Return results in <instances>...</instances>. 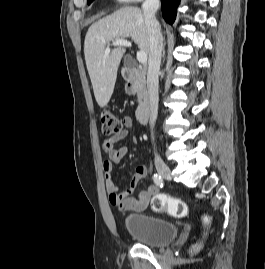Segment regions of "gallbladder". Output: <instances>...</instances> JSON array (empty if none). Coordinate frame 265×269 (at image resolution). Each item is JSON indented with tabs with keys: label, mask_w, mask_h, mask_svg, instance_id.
Returning a JSON list of instances; mask_svg holds the SVG:
<instances>
[{
	"label": "gallbladder",
	"mask_w": 265,
	"mask_h": 269,
	"mask_svg": "<svg viewBox=\"0 0 265 269\" xmlns=\"http://www.w3.org/2000/svg\"><path fill=\"white\" fill-rule=\"evenodd\" d=\"M125 66H128V67H129V66H131V64H129V63H126V64H125Z\"/></svg>",
	"instance_id": "gallbladder-1"
}]
</instances>
